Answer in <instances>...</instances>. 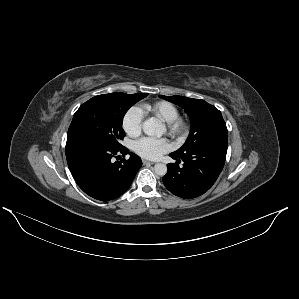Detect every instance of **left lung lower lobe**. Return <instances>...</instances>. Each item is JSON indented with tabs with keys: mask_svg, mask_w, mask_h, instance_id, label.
Here are the masks:
<instances>
[{
	"mask_svg": "<svg viewBox=\"0 0 299 299\" xmlns=\"http://www.w3.org/2000/svg\"><path fill=\"white\" fill-rule=\"evenodd\" d=\"M227 140L202 144L183 155L170 156L176 163L167 165L163 178L166 188L176 196L195 198L208 191L221 173L227 153ZM183 166H179L180 162Z\"/></svg>",
	"mask_w": 299,
	"mask_h": 299,
	"instance_id": "left-lung-lower-lobe-1",
	"label": "left lung lower lobe"
}]
</instances>
